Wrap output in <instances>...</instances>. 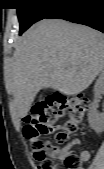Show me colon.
Wrapping results in <instances>:
<instances>
[{
  "instance_id": "1",
  "label": "colon",
  "mask_w": 104,
  "mask_h": 169,
  "mask_svg": "<svg viewBox=\"0 0 104 169\" xmlns=\"http://www.w3.org/2000/svg\"><path fill=\"white\" fill-rule=\"evenodd\" d=\"M90 102L82 94L64 96L57 104L34 105L24 119L23 133L30 143L33 156L39 169H58L56 158L59 157V147L40 139L54 128L56 122L66 116L68 119L63 131L57 134V141L63 142L68 135L77 131L83 123ZM63 163L65 169H79L81 159L76 154H67Z\"/></svg>"
}]
</instances>
